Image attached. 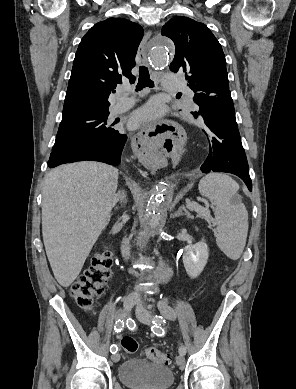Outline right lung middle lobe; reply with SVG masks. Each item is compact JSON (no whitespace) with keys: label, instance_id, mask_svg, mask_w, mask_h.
<instances>
[{"label":"right lung middle lobe","instance_id":"dd1d6c3e","mask_svg":"<svg viewBox=\"0 0 296 389\" xmlns=\"http://www.w3.org/2000/svg\"><path fill=\"white\" fill-rule=\"evenodd\" d=\"M108 115L109 112L77 113L62 117L52 151L117 135L119 131L107 125Z\"/></svg>","mask_w":296,"mask_h":389}]
</instances>
